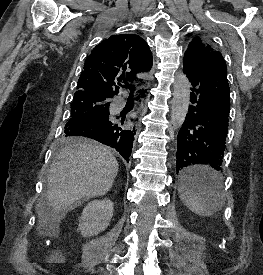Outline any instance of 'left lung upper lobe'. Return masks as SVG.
<instances>
[{"label":"left lung upper lobe","instance_id":"left-lung-upper-lobe-1","mask_svg":"<svg viewBox=\"0 0 263 275\" xmlns=\"http://www.w3.org/2000/svg\"><path fill=\"white\" fill-rule=\"evenodd\" d=\"M195 57L198 59L212 60L216 59L221 63H225L221 54L214 50L211 45L202 41L200 38H194L185 52L184 59L188 57Z\"/></svg>","mask_w":263,"mask_h":275}]
</instances>
